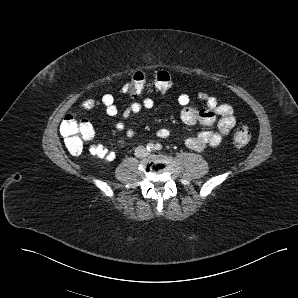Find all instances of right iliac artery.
I'll return each instance as SVG.
<instances>
[{
    "mask_svg": "<svg viewBox=\"0 0 298 298\" xmlns=\"http://www.w3.org/2000/svg\"><path fill=\"white\" fill-rule=\"evenodd\" d=\"M154 148H155V146H154L153 143H148L147 146H146V149H147L148 151H152V150H154Z\"/></svg>",
    "mask_w": 298,
    "mask_h": 298,
    "instance_id": "right-iliac-artery-1",
    "label": "right iliac artery"
}]
</instances>
